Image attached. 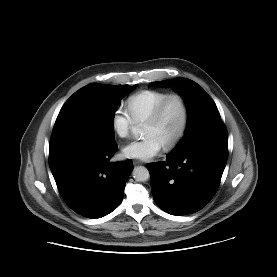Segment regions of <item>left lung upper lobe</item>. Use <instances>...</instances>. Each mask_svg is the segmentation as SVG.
<instances>
[{
	"label": "left lung upper lobe",
	"instance_id": "obj_1",
	"mask_svg": "<svg viewBox=\"0 0 277 277\" xmlns=\"http://www.w3.org/2000/svg\"><path fill=\"white\" fill-rule=\"evenodd\" d=\"M157 86H172L185 99L189 121L184 137L171 152H182L186 146L204 132L223 128L218 109L211 97L197 83L186 78H176L150 83Z\"/></svg>",
	"mask_w": 277,
	"mask_h": 277
}]
</instances>
